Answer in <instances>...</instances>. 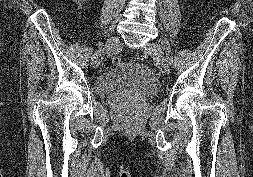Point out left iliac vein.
Listing matches in <instances>:
<instances>
[{
    "instance_id": "obj_1",
    "label": "left iliac vein",
    "mask_w": 253,
    "mask_h": 177,
    "mask_svg": "<svg viewBox=\"0 0 253 177\" xmlns=\"http://www.w3.org/2000/svg\"><path fill=\"white\" fill-rule=\"evenodd\" d=\"M166 50V54L163 49ZM147 49L153 54L155 59L160 63L162 69L169 73L172 64V55L170 52V46L167 42H162V46L157 43H148Z\"/></svg>"
}]
</instances>
